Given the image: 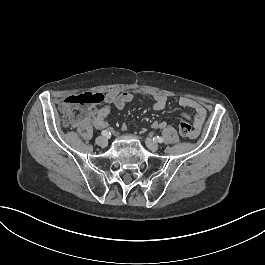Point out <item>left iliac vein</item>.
Listing matches in <instances>:
<instances>
[{"label":"left iliac vein","mask_w":265,"mask_h":265,"mask_svg":"<svg viewBox=\"0 0 265 265\" xmlns=\"http://www.w3.org/2000/svg\"><path fill=\"white\" fill-rule=\"evenodd\" d=\"M146 146L151 150V151H157L159 146L156 142H154L151 138L147 137L145 139Z\"/></svg>","instance_id":"4c4485c4"}]
</instances>
